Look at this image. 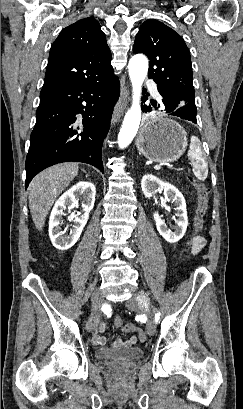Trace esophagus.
<instances>
[{"label":"esophagus","mask_w":243,"mask_h":409,"mask_svg":"<svg viewBox=\"0 0 243 409\" xmlns=\"http://www.w3.org/2000/svg\"><path fill=\"white\" fill-rule=\"evenodd\" d=\"M128 101H129V89L128 87H124L121 91L120 97L113 110L112 120H111L112 124H116L120 120L124 110L127 107Z\"/></svg>","instance_id":"1"}]
</instances>
